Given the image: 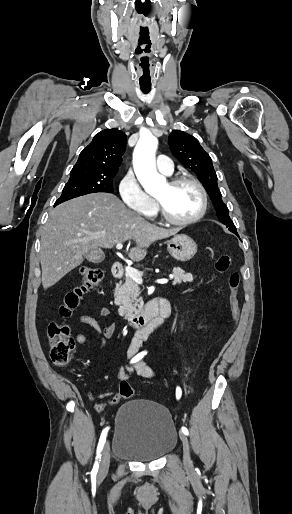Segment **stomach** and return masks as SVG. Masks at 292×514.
<instances>
[{
    "instance_id": "0dacf381",
    "label": "stomach",
    "mask_w": 292,
    "mask_h": 514,
    "mask_svg": "<svg viewBox=\"0 0 292 514\" xmlns=\"http://www.w3.org/2000/svg\"><path fill=\"white\" fill-rule=\"evenodd\" d=\"M167 250L172 258L179 260V262H187L195 256L197 252V244L192 238L185 236V234H178L172 240L167 242Z\"/></svg>"
}]
</instances>
